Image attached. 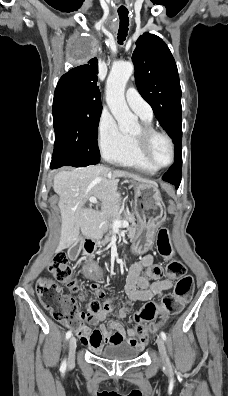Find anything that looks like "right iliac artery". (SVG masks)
<instances>
[{
  "instance_id": "82829eb1",
  "label": "right iliac artery",
  "mask_w": 228,
  "mask_h": 396,
  "mask_svg": "<svg viewBox=\"0 0 228 396\" xmlns=\"http://www.w3.org/2000/svg\"><path fill=\"white\" fill-rule=\"evenodd\" d=\"M71 335H72V332H71V331H68V332L66 333V339L68 340V339L71 337ZM65 369H66V360H64V361L62 362V364H61V370L64 371Z\"/></svg>"
}]
</instances>
